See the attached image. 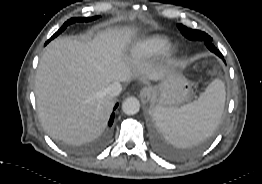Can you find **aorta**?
<instances>
[{
	"mask_svg": "<svg viewBox=\"0 0 262 184\" xmlns=\"http://www.w3.org/2000/svg\"><path fill=\"white\" fill-rule=\"evenodd\" d=\"M122 110L127 115H135L140 110V102L136 97H128L122 103Z\"/></svg>",
	"mask_w": 262,
	"mask_h": 184,
	"instance_id": "aorta-1",
	"label": "aorta"
}]
</instances>
